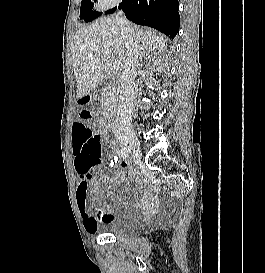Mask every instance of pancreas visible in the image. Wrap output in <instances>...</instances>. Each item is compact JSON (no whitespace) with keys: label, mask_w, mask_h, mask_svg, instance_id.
<instances>
[{"label":"pancreas","mask_w":265,"mask_h":273,"mask_svg":"<svg viewBox=\"0 0 265 273\" xmlns=\"http://www.w3.org/2000/svg\"><path fill=\"white\" fill-rule=\"evenodd\" d=\"M103 110L114 111L117 105V89L115 86H109L103 95Z\"/></svg>","instance_id":"pancreas-1"}]
</instances>
